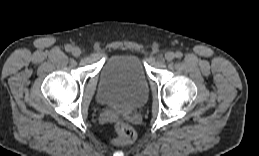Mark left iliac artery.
<instances>
[{
    "mask_svg": "<svg viewBox=\"0 0 259 156\" xmlns=\"http://www.w3.org/2000/svg\"><path fill=\"white\" fill-rule=\"evenodd\" d=\"M175 56L180 59V58H182L183 54H182V52L178 51V52H176Z\"/></svg>",
    "mask_w": 259,
    "mask_h": 156,
    "instance_id": "44dca946",
    "label": "left iliac artery"
}]
</instances>
